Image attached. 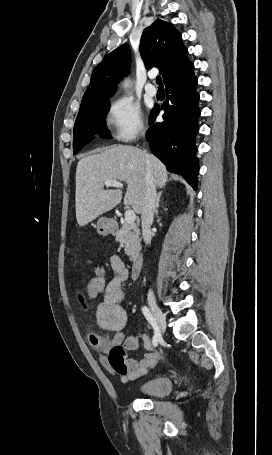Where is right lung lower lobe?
I'll use <instances>...</instances> for the list:
<instances>
[{
  "instance_id": "right-lung-lower-lobe-1",
  "label": "right lung lower lobe",
  "mask_w": 272,
  "mask_h": 455,
  "mask_svg": "<svg viewBox=\"0 0 272 455\" xmlns=\"http://www.w3.org/2000/svg\"><path fill=\"white\" fill-rule=\"evenodd\" d=\"M197 83L192 70L165 85L167 99L161 106L164 121L154 123L160 111L159 107H154L149 118L152 126L146 133L152 153L166 165L168 171L182 175L195 190L198 174L195 135L200 115Z\"/></svg>"
}]
</instances>
